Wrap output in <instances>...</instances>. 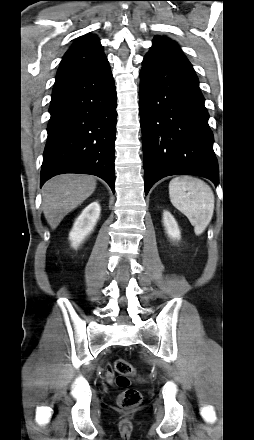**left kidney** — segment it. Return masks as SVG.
Returning <instances> with one entry per match:
<instances>
[{"label": "left kidney", "mask_w": 254, "mask_h": 440, "mask_svg": "<svg viewBox=\"0 0 254 440\" xmlns=\"http://www.w3.org/2000/svg\"><path fill=\"white\" fill-rule=\"evenodd\" d=\"M163 225L165 227L168 237H170L173 240H180L181 238L180 229L178 227L175 218L169 211L163 212Z\"/></svg>", "instance_id": "5707ae66"}]
</instances>
